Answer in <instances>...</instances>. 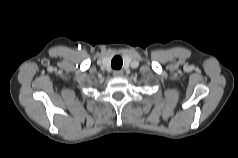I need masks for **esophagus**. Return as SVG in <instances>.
Here are the masks:
<instances>
[{
    "label": "esophagus",
    "instance_id": "34e87169",
    "mask_svg": "<svg viewBox=\"0 0 238 158\" xmlns=\"http://www.w3.org/2000/svg\"><path fill=\"white\" fill-rule=\"evenodd\" d=\"M113 75H114L115 77H121V76L123 75V71H122V70H115V71L113 72Z\"/></svg>",
    "mask_w": 238,
    "mask_h": 158
}]
</instances>
